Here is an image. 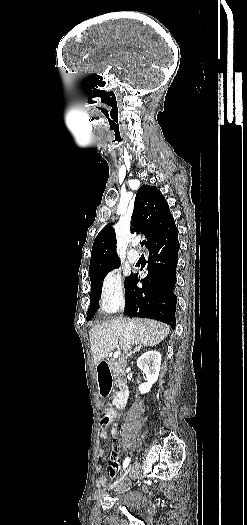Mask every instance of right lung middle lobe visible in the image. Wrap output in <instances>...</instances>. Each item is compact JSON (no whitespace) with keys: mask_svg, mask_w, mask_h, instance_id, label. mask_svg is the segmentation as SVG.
<instances>
[{"mask_svg":"<svg viewBox=\"0 0 247 525\" xmlns=\"http://www.w3.org/2000/svg\"><path fill=\"white\" fill-rule=\"evenodd\" d=\"M99 273V274H92L90 275L91 280V296H90V306L88 309L87 319L90 320L94 317L95 312L99 306V299H100V293H101V287H102V281L106 274L108 273ZM133 274H131L132 276ZM130 276V277H131ZM130 277L125 279V284L130 279Z\"/></svg>","mask_w":247,"mask_h":525,"instance_id":"1","label":"right lung middle lobe"}]
</instances>
